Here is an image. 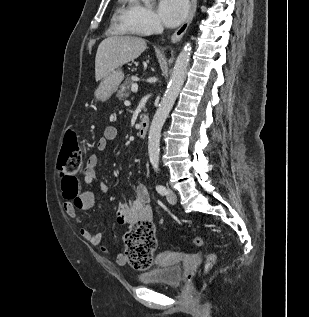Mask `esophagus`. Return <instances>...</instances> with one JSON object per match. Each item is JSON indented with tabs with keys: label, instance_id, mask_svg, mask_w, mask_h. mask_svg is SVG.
Here are the masks:
<instances>
[{
	"label": "esophagus",
	"instance_id": "esophagus-1",
	"mask_svg": "<svg viewBox=\"0 0 309 317\" xmlns=\"http://www.w3.org/2000/svg\"><path fill=\"white\" fill-rule=\"evenodd\" d=\"M196 8H197V0H191L189 14H188L186 20L183 22V24L172 35V37H171L172 43L178 42L182 38V36L185 34V32L188 29V26L190 25L194 15H195Z\"/></svg>",
	"mask_w": 309,
	"mask_h": 317
}]
</instances>
